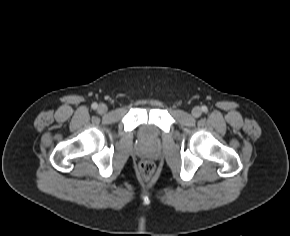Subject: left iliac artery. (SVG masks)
Masks as SVG:
<instances>
[{"instance_id":"1","label":"left iliac artery","mask_w":290,"mask_h":236,"mask_svg":"<svg viewBox=\"0 0 290 236\" xmlns=\"http://www.w3.org/2000/svg\"><path fill=\"white\" fill-rule=\"evenodd\" d=\"M202 111L203 112H207L208 111V108L206 106H202Z\"/></svg>"}]
</instances>
